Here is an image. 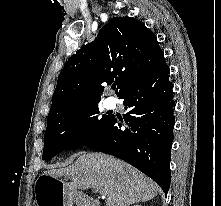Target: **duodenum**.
Wrapping results in <instances>:
<instances>
[{
	"mask_svg": "<svg viewBox=\"0 0 221 206\" xmlns=\"http://www.w3.org/2000/svg\"><path fill=\"white\" fill-rule=\"evenodd\" d=\"M88 206H98L97 201L94 198L88 197Z\"/></svg>",
	"mask_w": 221,
	"mask_h": 206,
	"instance_id": "410a0bca",
	"label": "duodenum"
}]
</instances>
